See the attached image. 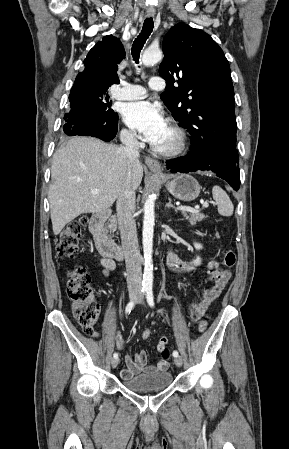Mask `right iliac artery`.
<instances>
[{
    "instance_id": "right-iliac-artery-1",
    "label": "right iliac artery",
    "mask_w": 289,
    "mask_h": 449,
    "mask_svg": "<svg viewBox=\"0 0 289 449\" xmlns=\"http://www.w3.org/2000/svg\"><path fill=\"white\" fill-rule=\"evenodd\" d=\"M145 292H146L145 289H142V290H141V294H144ZM134 306H135V300L129 302V303L127 304V306H126L125 313H126V314H130V312L132 311V309L134 308ZM113 357H114L115 359H117V358H118V353H114V354H113Z\"/></svg>"
}]
</instances>
